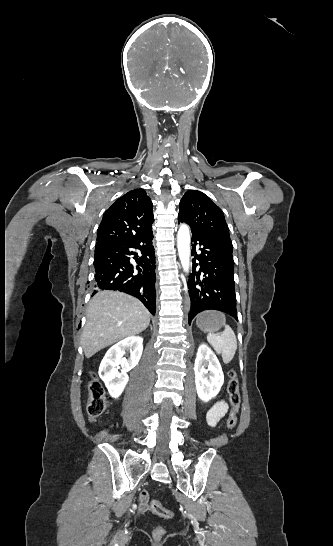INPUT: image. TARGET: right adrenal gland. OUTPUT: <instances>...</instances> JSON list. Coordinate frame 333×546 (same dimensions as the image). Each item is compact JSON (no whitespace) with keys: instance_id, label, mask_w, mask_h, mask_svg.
<instances>
[{"instance_id":"2a0ac1e0","label":"right adrenal gland","mask_w":333,"mask_h":546,"mask_svg":"<svg viewBox=\"0 0 333 546\" xmlns=\"http://www.w3.org/2000/svg\"><path fill=\"white\" fill-rule=\"evenodd\" d=\"M150 330H151V332H152V326H151V325H150Z\"/></svg>"}]
</instances>
